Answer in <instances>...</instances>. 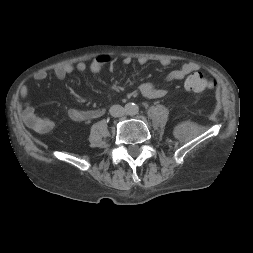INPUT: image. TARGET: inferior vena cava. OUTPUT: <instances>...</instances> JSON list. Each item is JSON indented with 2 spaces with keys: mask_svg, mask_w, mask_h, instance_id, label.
Instances as JSON below:
<instances>
[{
  "mask_svg": "<svg viewBox=\"0 0 253 253\" xmlns=\"http://www.w3.org/2000/svg\"><path fill=\"white\" fill-rule=\"evenodd\" d=\"M125 108H123L121 105H113L110 108V114L113 117H121L125 114Z\"/></svg>",
  "mask_w": 253,
  "mask_h": 253,
  "instance_id": "602c4592",
  "label": "inferior vena cava"
}]
</instances>
